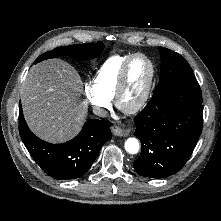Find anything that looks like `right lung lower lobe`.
I'll use <instances>...</instances> for the list:
<instances>
[{"label":"right lung lower lobe","instance_id":"1","mask_svg":"<svg viewBox=\"0 0 221 221\" xmlns=\"http://www.w3.org/2000/svg\"><path fill=\"white\" fill-rule=\"evenodd\" d=\"M111 123L86 121L80 133L62 144H51L35 136L28 128L19 108V133L34 161L49 176L70 180L82 177L99 155L102 145L111 139Z\"/></svg>","mask_w":221,"mask_h":221}]
</instances>
